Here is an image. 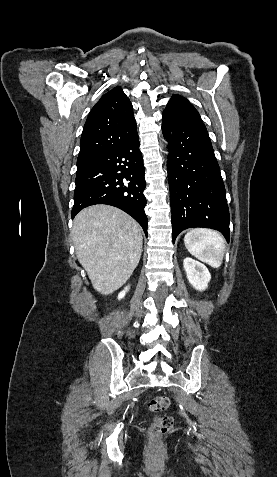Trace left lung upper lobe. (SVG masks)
<instances>
[{
    "label": "left lung upper lobe",
    "mask_w": 277,
    "mask_h": 477,
    "mask_svg": "<svg viewBox=\"0 0 277 477\" xmlns=\"http://www.w3.org/2000/svg\"><path fill=\"white\" fill-rule=\"evenodd\" d=\"M163 122L205 126L198 111L184 97L174 95L163 112Z\"/></svg>",
    "instance_id": "obj_1"
}]
</instances>
